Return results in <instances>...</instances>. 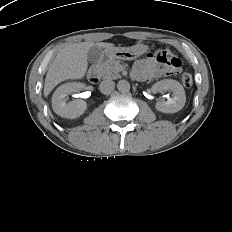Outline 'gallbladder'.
Listing matches in <instances>:
<instances>
[{"label":"gallbladder","mask_w":232,"mask_h":232,"mask_svg":"<svg viewBox=\"0 0 232 232\" xmlns=\"http://www.w3.org/2000/svg\"><path fill=\"white\" fill-rule=\"evenodd\" d=\"M101 56L102 50L97 46L91 47L87 53L88 61L93 64L99 62Z\"/></svg>","instance_id":"obj_1"}]
</instances>
